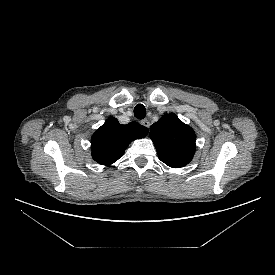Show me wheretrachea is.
<instances>
[{
  "mask_svg": "<svg viewBox=\"0 0 275 275\" xmlns=\"http://www.w3.org/2000/svg\"><path fill=\"white\" fill-rule=\"evenodd\" d=\"M134 115L138 119H144L146 116V108L143 104H138L134 108Z\"/></svg>",
  "mask_w": 275,
  "mask_h": 275,
  "instance_id": "3493384b",
  "label": "trachea"
}]
</instances>
